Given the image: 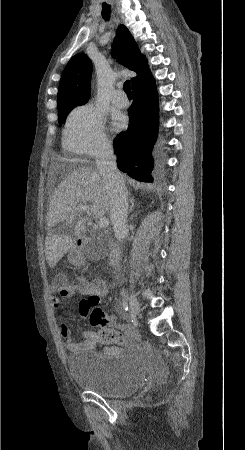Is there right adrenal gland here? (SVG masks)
<instances>
[{"label": "right adrenal gland", "instance_id": "obj_1", "mask_svg": "<svg viewBox=\"0 0 245 450\" xmlns=\"http://www.w3.org/2000/svg\"><path fill=\"white\" fill-rule=\"evenodd\" d=\"M133 208H134V198H130V212H132L133 211Z\"/></svg>", "mask_w": 245, "mask_h": 450}]
</instances>
